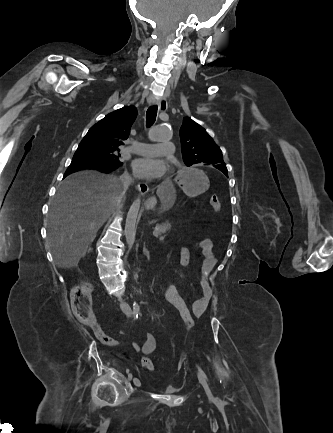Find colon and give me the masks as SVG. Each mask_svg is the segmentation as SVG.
<instances>
[{"label": "colon", "mask_w": 333, "mask_h": 433, "mask_svg": "<svg viewBox=\"0 0 333 433\" xmlns=\"http://www.w3.org/2000/svg\"><path fill=\"white\" fill-rule=\"evenodd\" d=\"M210 205L215 212H219L221 209V203L216 195L210 197ZM170 284V281H167ZM163 297L165 303L170 304L172 308H175L177 313L180 314L181 320H183L185 329L192 330L199 324L190 309L187 307V303L183 297L180 296L179 291L175 289V285H167L165 287ZM92 286L87 281H81L77 283L71 290V307L75 317L85 325L93 326L97 323L96 316L92 309ZM141 364L144 368L149 371H153V363L149 357H143Z\"/></svg>", "instance_id": "colon-1"}]
</instances>
